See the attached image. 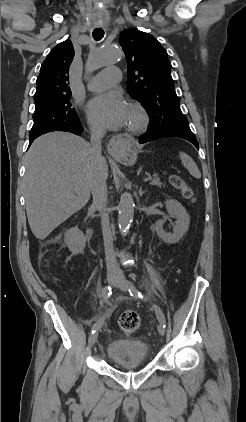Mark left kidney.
Instances as JSON below:
<instances>
[{"label": "left kidney", "mask_w": 246, "mask_h": 422, "mask_svg": "<svg viewBox=\"0 0 246 422\" xmlns=\"http://www.w3.org/2000/svg\"><path fill=\"white\" fill-rule=\"evenodd\" d=\"M168 214L176 218V224L173 233H168L164 230V220L160 219L155 223V230L158 236L168 244H175L184 236L188 231L190 224V216L186 209L177 201L173 199L166 200L165 202Z\"/></svg>", "instance_id": "left-kidney-1"}]
</instances>
